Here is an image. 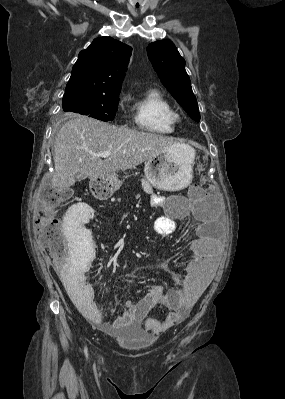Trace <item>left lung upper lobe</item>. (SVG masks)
Segmentation results:
<instances>
[{"instance_id":"left-lung-upper-lobe-1","label":"left lung upper lobe","mask_w":285,"mask_h":399,"mask_svg":"<svg viewBox=\"0 0 285 399\" xmlns=\"http://www.w3.org/2000/svg\"><path fill=\"white\" fill-rule=\"evenodd\" d=\"M147 53L162 84L190 117L199 122V109L185 70V60L174 43L170 40L153 42L147 47Z\"/></svg>"}]
</instances>
